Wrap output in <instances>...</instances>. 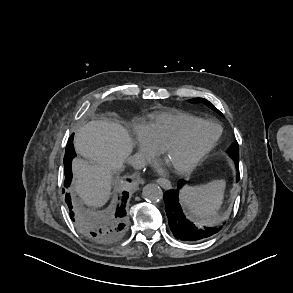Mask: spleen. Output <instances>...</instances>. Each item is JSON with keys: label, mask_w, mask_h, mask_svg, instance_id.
Masks as SVG:
<instances>
[{"label": "spleen", "mask_w": 293, "mask_h": 293, "mask_svg": "<svg viewBox=\"0 0 293 293\" xmlns=\"http://www.w3.org/2000/svg\"><path fill=\"white\" fill-rule=\"evenodd\" d=\"M225 187L226 182L222 179L193 187L185 186L181 190V200L194 215L211 219L223 203Z\"/></svg>", "instance_id": "obj_1"}]
</instances>
